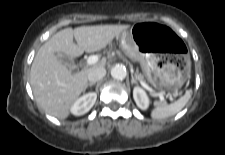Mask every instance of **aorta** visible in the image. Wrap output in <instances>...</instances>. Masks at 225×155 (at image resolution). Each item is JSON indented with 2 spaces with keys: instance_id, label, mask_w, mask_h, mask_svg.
Returning a JSON list of instances; mask_svg holds the SVG:
<instances>
[{
  "instance_id": "aorta-1",
  "label": "aorta",
  "mask_w": 225,
  "mask_h": 155,
  "mask_svg": "<svg viewBox=\"0 0 225 155\" xmlns=\"http://www.w3.org/2000/svg\"><path fill=\"white\" fill-rule=\"evenodd\" d=\"M127 75L126 68L122 65H116L111 69V76L117 80H123Z\"/></svg>"
}]
</instances>
